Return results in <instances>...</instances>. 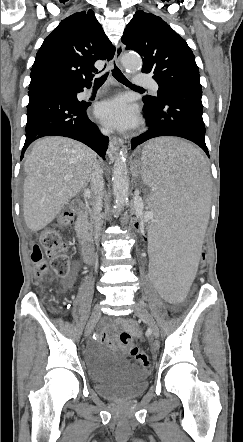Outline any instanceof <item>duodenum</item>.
Here are the masks:
<instances>
[{
	"label": "duodenum",
	"instance_id": "1",
	"mask_svg": "<svg viewBox=\"0 0 243 442\" xmlns=\"http://www.w3.org/2000/svg\"><path fill=\"white\" fill-rule=\"evenodd\" d=\"M77 213L76 227L78 230H82L88 218L87 210L82 203H77ZM82 260L85 263H92L94 260L93 250L87 243H84L82 247Z\"/></svg>",
	"mask_w": 243,
	"mask_h": 442
}]
</instances>
